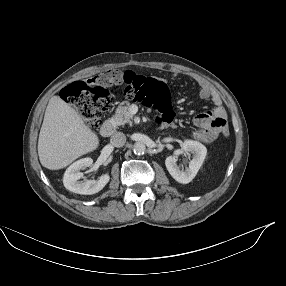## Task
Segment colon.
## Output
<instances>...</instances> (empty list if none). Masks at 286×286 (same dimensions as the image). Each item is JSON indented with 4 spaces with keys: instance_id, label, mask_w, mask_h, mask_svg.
I'll return each instance as SVG.
<instances>
[{
    "instance_id": "obj_1",
    "label": "colon",
    "mask_w": 286,
    "mask_h": 286,
    "mask_svg": "<svg viewBox=\"0 0 286 286\" xmlns=\"http://www.w3.org/2000/svg\"><path fill=\"white\" fill-rule=\"evenodd\" d=\"M118 78L126 84V96H141L147 105L155 106L160 110L161 121L171 122L173 120L175 113L172 110L168 88L164 82L132 72L122 74L107 72L99 79L100 82L113 83ZM63 100L75 105L92 129H98L102 123L103 114L110 107L111 96L109 91L101 85H89L78 81L64 88ZM189 131L195 140L211 144L221 142L227 135L225 122L213 113L195 117L190 123Z\"/></svg>"
}]
</instances>
